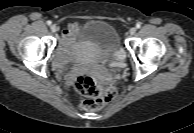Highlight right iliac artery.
Wrapping results in <instances>:
<instances>
[{
	"mask_svg": "<svg viewBox=\"0 0 194 133\" xmlns=\"http://www.w3.org/2000/svg\"><path fill=\"white\" fill-rule=\"evenodd\" d=\"M52 24V22L51 21H47V25H51Z\"/></svg>",
	"mask_w": 194,
	"mask_h": 133,
	"instance_id": "1",
	"label": "right iliac artery"
}]
</instances>
